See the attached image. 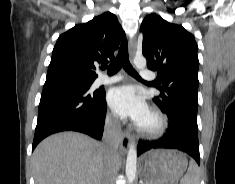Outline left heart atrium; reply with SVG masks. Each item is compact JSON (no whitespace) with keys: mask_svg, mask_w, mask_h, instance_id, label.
Masks as SVG:
<instances>
[{"mask_svg":"<svg viewBox=\"0 0 235 184\" xmlns=\"http://www.w3.org/2000/svg\"><path fill=\"white\" fill-rule=\"evenodd\" d=\"M107 102L116 117H129L136 126H140L149 113V107L143 98L127 87L111 89L107 95Z\"/></svg>","mask_w":235,"mask_h":184,"instance_id":"1","label":"left heart atrium"}]
</instances>
